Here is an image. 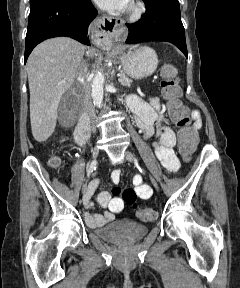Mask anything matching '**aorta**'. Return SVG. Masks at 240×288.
Here are the masks:
<instances>
[{
	"label": "aorta",
	"mask_w": 240,
	"mask_h": 288,
	"mask_svg": "<svg viewBox=\"0 0 240 288\" xmlns=\"http://www.w3.org/2000/svg\"><path fill=\"white\" fill-rule=\"evenodd\" d=\"M104 75L98 73L95 75L92 82V99L94 104L100 108L103 101V84H104Z\"/></svg>",
	"instance_id": "1"
}]
</instances>
